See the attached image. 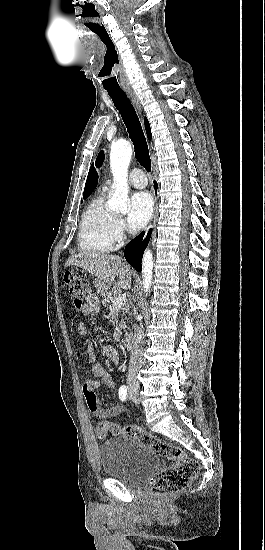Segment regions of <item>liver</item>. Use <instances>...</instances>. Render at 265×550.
Instances as JSON below:
<instances>
[{
	"label": "liver",
	"instance_id": "liver-1",
	"mask_svg": "<svg viewBox=\"0 0 265 550\" xmlns=\"http://www.w3.org/2000/svg\"><path fill=\"white\" fill-rule=\"evenodd\" d=\"M75 265L87 270L97 278L98 289H110L116 276L118 277L117 287L130 289L131 271L129 266L117 255L106 253H79L72 255L65 263V267ZM104 292V293H106Z\"/></svg>",
	"mask_w": 265,
	"mask_h": 550
}]
</instances>
